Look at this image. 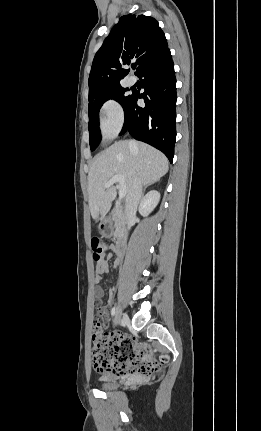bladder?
Wrapping results in <instances>:
<instances>
[{
  "instance_id": "bladder-1",
  "label": "bladder",
  "mask_w": 261,
  "mask_h": 431,
  "mask_svg": "<svg viewBox=\"0 0 261 431\" xmlns=\"http://www.w3.org/2000/svg\"><path fill=\"white\" fill-rule=\"evenodd\" d=\"M119 386V379L112 375H105L99 379V387L104 390H113Z\"/></svg>"
}]
</instances>
